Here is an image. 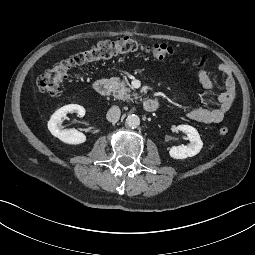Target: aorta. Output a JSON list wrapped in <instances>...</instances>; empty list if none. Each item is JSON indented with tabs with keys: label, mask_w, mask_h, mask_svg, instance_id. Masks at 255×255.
Listing matches in <instances>:
<instances>
[{
	"label": "aorta",
	"mask_w": 255,
	"mask_h": 255,
	"mask_svg": "<svg viewBox=\"0 0 255 255\" xmlns=\"http://www.w3.org/2000/svg\"><path fill=\"white\" fill-rule=\"evenodd\" d=\"M126 123L131 128H137L140 125V118L135 114L128 115Z\"/></svg>",
	"instance_id": "obj_1"
}]
</instances>
